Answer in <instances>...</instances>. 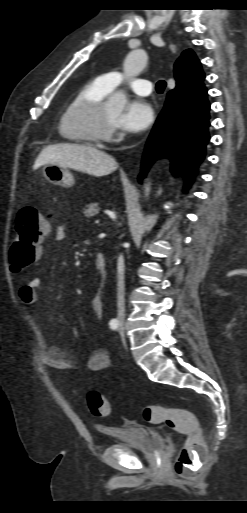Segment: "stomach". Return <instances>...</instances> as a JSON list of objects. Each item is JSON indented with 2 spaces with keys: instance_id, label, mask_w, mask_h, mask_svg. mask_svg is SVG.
<instances>
[{
  "instance_id": "1",
  "label": "stomach",
  "mask_w": 247,
  "mask_h": 513,
  "mask_svg": "<svg viewBox=\"0 0 247 513\" xmlns=\"http://www.w3.org/2000/svg\"><path fill=\"white\" fill-rule=\"evenodd\" d=\"M44 177L48 182L65 188L72 187L75 183L73 174L57 164H46L43 168Z\"/></svg>"
}]
</instances>
